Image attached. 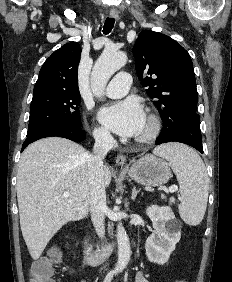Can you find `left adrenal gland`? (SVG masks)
Segmentation results:
<instances>
[{
    "label": "left adrenal gland",
    "mask_w": 232,
    "mask_h": 282,
    "mask_svg": "<svg viewBox=\"0 0 232 282\" xmlns=\"http://www.w3.org/2000/svg\"><path fill=\"white\" fill-rule=\"evenodd\" d=\"M139 193V190L136 189V187L134 186L133 187V190H132V195H131V199L132 200H135L137 194Z\"/></svg>",
    "instance_id": "a2214340"
}]
</instances>
